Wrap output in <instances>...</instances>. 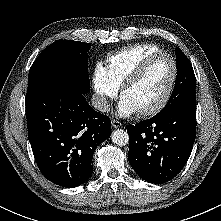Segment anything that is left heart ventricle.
<instances>
[{"mask_svg": "<svg viewBox=\"0 0 221 221\" xmlns=\"http://www.w3.org/2000/svg\"><path fill=\"white\" fill-rule=\"evenodd\" d=\"M172 64L167 57L155 59L125 93L138 111L156 105L164 95L172 76Z\"/></svg>", "mask_w": 221, "mask_h": 221, "instance_id": "b2bd125f", "label": "left heart ventricle"}]
</instances>
